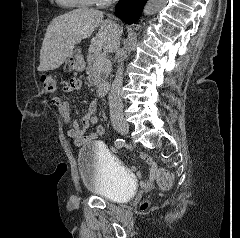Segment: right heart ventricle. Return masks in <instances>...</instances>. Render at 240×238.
<instances>
[{"label": "right heart ventricle", "mask_w": 240, "mask_h": 238, "mask_svg": "<svg viewBox=\"0 0 240 238\" xmlns=\"http://www.w3.org/2000/svg\"><path fill=\"white\" fill-rule=\"evenodd\" d=\"M58 5L68 9L84 7L87 4L83 3L81 0H55Z\"/></svg>", "instance_id": "e07e8e85"}]
</instances>
